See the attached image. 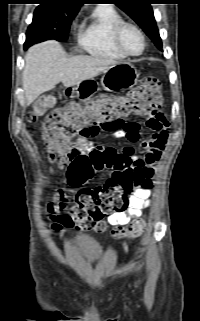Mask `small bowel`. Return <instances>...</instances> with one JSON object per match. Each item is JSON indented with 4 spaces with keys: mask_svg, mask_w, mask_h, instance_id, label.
<instances>
[{
    "mask_svg": "<svg viewBox=\"0 0 200 321\" xmlns=\"http://www.w3.org/2000/svg\"><path fill=\"white\" fill-rule=\"evenodd\" d=\"M120 96V93H117ZM145 125L153 131L152 135L140 143L139 150L132 145L124 147L120 152L112 147L95 145L89 136L81 135L72 145V155L82 152L100 150L113 152L130 160L132 167L138 172L141 182L131 193L127 207L108 215L107 221L112 226L126 225L130 220L139 218L143 209L151 203V189L155 173V164L160 159L168 143L169 121L165 113L152 111L145 119ZM141 124L137 121L123 120L117 127L110 129L113 135L119 139H125L134 144L139 140ZM55 204H50L48 209L52 213L50 219L55 230L71 228L73 224L66 219L65 209L67 196L63 190H55L53 194Z\"/></svg>",
    "mask_w": 200,
    "mask_h": 321,
    "instance_id": "obj_1",
    "label": "small bowel"
}]
</instances>
